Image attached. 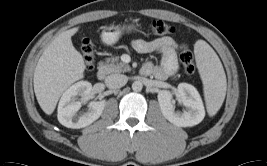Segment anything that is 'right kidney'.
<instances>
[{
	"instance_id": "right-kidney-1",
	"label": "right kidney",
	"mask_w": 267,
	"mask_h": 166,
	"mask_svg": "<svg viewBox=\"0 0 267 166\" xmlns=\"http://www.w3.org/2000/svg\"><path fill=\"white\" fill-rule=\"evenodd\" d=\"M92 90L88 81H79L68 88L62 95L58 105V121L68 128L80 129L97 120L105 107V101L91 102L86 113L77 117V112L86 101ZM81 96V100H77Z\"/></svg>"
}]
</instances>
